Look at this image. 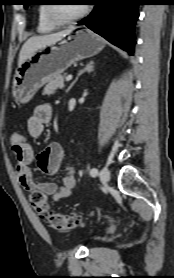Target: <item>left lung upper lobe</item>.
<instances>
[{
    "mask_svg": "<svg viewBox=\"0 0 174 278\" xmlns=\"http://www.w3.org/2000/svg\"><path fill=\"white\" fill-rule=\"evenodd\" d=\"M29 1H30V0H25V3H24L25 8H27L28 5H30Z\"/></svg>",
    "mask_w": 174,
    "mask_h": 278,
    "instance_id": "left-lung-upper-lobe-1",
    "label": "left lung upper lobe"
}]
</instances>
